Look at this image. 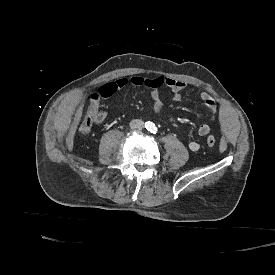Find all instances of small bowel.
Wrapping results in <instances>:
<instances>
[{
    "label": "small bowel",
    "mask_w": 275,
    "mask_h": 275,
    "mask_svg": "<svg viewBox=\"0 0 275 275\" xmlns=\"http://www.w3.org/2000/svg\"><path fill=\"white\" fill-rule=\"evenodd\" d=\"M153 81H160V85H166L170 87L173 91V97L172 99L174 101H180L181 100V92L185 89L186 84L183 81L171 79V78H159V79H152V80H146L140 76H133L130 79L126 78H118L114 81L107 82L103 84L97 94L93 95V99L96 100L100 97H108L116 93L117 91L121 90L128 84H131L133 86H147L151 88V99L153 102V112L155 114H158L162 108H163V100L162 97L157 89L159 86H153ZM200 100L207 108L210 119L214 120L217 115V103L216 100L208 93L202 92L200 94ZM198 134L200 136H206L210 132V126L208 123H202L199 125ZM189 148L192 151H197L199 149V144L196 141H191L189 143Z\"/></svg>",
    "instance_id": "c3829d8e"
}]
</instances>
